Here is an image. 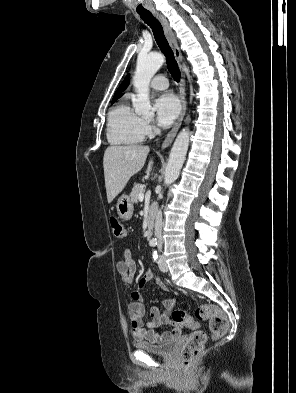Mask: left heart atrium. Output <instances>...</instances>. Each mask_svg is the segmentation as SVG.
<instances>
[{"mask_svg":"<svg viewBox=\"0 0 296 393\" xmlns=\"http://www.w3.org/2000/svg\"><path fill=\"white\" fill-rule=\"evenodd\" d=\"M154 106L157 122L163 127L171 125L180 111V106L176 97L170 93L161 95L155 101Z\"/></svg>","mask_w":296,"mask_h":393,"instance_id":"obj_1","label":"left heart atrium"}]
</instances>
